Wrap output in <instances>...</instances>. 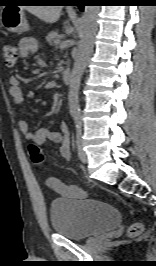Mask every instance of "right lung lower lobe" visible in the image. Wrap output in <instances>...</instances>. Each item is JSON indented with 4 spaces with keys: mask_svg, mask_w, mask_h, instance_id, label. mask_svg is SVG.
<instances>
[{
    "mask_svg": "<svg viewBox=\"0 0 156 266\" xmlns=\"http://www.w3.org/2000/svg\"><path fill=\"white\" fill-rule=\"evenodd\" d=\"M77 3H78L77 5H78V7L80 8V10L83 11V8H84V5H85V4H84L82 1L77 2Z\"/></svg>",
    "mask_w": 156,
    "mask_h": 266,
    "instance_id": "98d812e1",
    "label": "right lung lower lobe"
}]
</instances>
